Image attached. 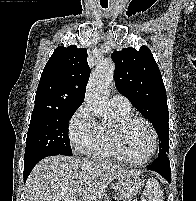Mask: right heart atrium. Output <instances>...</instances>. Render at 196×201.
Instances as JSON below:
<instances>
[{
    "mask_svg": "<svg viewBox=\"0 0 196 201\" xmlns=\"http://www.w3.org/2000/svg\"><path fill=\"white\" fill-rule=\"evenodd\" d=\"M68 134L71 146L79 154H90L96 145L99 124L86 103L81 104L69 119Z\"/></svg>",
    "mask_w": 196,
    "mask_h": 201,
    "instance_id": "d8ad5b80",
    "label": "right heart atrium"
}]
</instances>
